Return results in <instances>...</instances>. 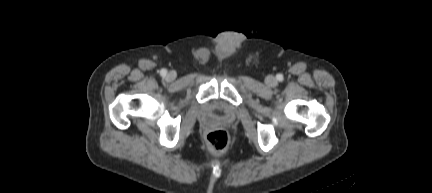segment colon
<instances>
[{
  "mask_svg": "<svg viewBox=\"0 0 432 193\" xmlns=\"http://www.w3.org/2000/svg\"><path fill=\"white\" fill-rule=\"evenodd\" d=\"M230 144L229 135L223 130H215L208 134L207 145L214 154L224 153Z\"/></svg>",
  "mask_w": 432,
  "mask_h": 193,
  "instance_id": "1",
  "label": "colon"
}]
</instances>
